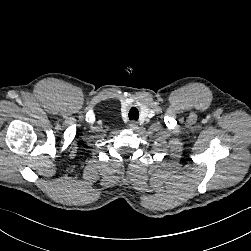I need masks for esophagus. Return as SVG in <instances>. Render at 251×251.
Wrapping results in <instances>:
<instances>
[{
	"label": "esophagus",
	"instance_id": "obj_1",
	"mask_svg": "<svg viewBox=\"0 0 251 251\" xmlns=\"http://www.w3.org/2000/svg\"><path fill=\"white\" fill-rule=\"evenodd\" d=\"M129 126H130L131 129H135V128L138 127V124H137V122L133 121V122H131V123L129 124Z\"/></svg>",
	"mask_w": 251,
	"mask_h": 251
}]
</instances>
